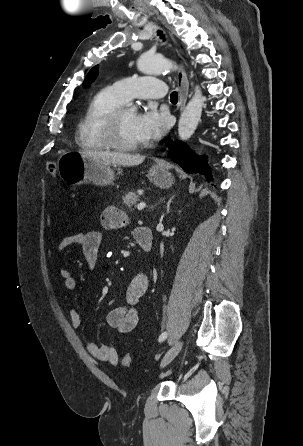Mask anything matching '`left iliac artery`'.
<instances>
[{
    "instance_id": "obj_1",
    "label": "left iliac artery",
    "mask_w": 303,
    "mask_h": 446,
    "mask_svg": "<svg viewBox=\"0 0 303 446\" xmlns=\"http://www.w3.org/2000/svg\"><path fill=\"white\" fill-rule=\"evenodd\" d=\"M168 333L167 332H163L160 336H159V342H163L166 338H167Z\"/></svg>"
}]
</instances>
